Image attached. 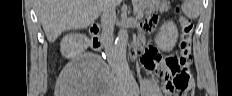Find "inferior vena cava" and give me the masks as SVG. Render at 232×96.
<instances>
[{
  "label": "inferior vena cava",
  "instance_id": "602c4592",
  "mask_svg": "<svg viewBox=\"0 0 232 96\" xmlns=\"http://www.w3.org/2000/svg\"><path fill=\"white\" fill-rule=\"evenodd\" d=\"M115 5L112 0H103L101 23H102V41L109 59L115 56L114 47V24Z\"/></svg>",
  "mask_w": 232,
  "mask_h": 96
}]
</instances>
